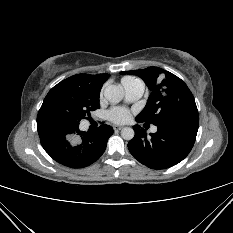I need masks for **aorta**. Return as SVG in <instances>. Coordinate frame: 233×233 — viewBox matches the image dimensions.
I'll return each instance as SVG.
<instances>
[{"mask_svg": "<svg viewBox=\"0 0 233 233\" xmlns=\"http://www.w3.org/2000/svg\"><path fill=\"white\" fill-rule=\"evenodd\" d=\"M123 96V89L116 85H109L104 90V97L113 104L119 103ZM121 136L125 140H131L134 137V130L130 127H124L121 131Z\"/></svg>", "mask_w": 233, "mask_h": 233, "instance_id": "aorta-1", "label": "aorta"}]
</instances>
